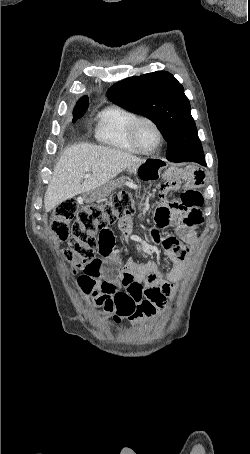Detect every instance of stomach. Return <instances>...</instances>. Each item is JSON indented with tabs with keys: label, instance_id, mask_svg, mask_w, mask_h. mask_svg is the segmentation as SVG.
Masks as SVG:
<instances>
[{
	"label": "stomach",
	"instance_id": "1",
	"mask_svg": "<svg viewBox=\"0 0 250 454\" xmlns=\"http://www.w3.org/2000/svg\"><path fill=\"white\" fill-rule=\"evenodd\" d=\"M161 162L151 159L145 160L143 163H140L136 166H131L128 168L129 173L136 175L141 180L151 181L160 177L161 170L163 166L160 165ZM114 189L113 185L103 186L94 191L88 193V200H97L108 196L111 191Z\"/></svg>",
	"mask_w": 250,
	"mask_h": 454
}]
</instances>
